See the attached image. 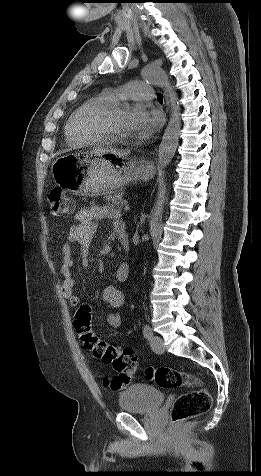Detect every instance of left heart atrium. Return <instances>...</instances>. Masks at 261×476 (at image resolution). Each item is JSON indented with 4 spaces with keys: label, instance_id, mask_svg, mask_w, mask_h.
<instances>
[{
    "label": "left heart atrium",
    "instance_id": "39dd6f15",
    "mask_svg": "<svg viewBox=\"0 0 261 476\" xmlns=\"http://www.w3.org/2000/svg\"><path fill=\"white\" fill-rule=\"evenodd\" d=\"M127 120L131 134L139 138L149 137L162 123L161 115L157 111H149L142 105L131 108Z\"/></svg>",
    "mask_w": 261,
    "mask_h": 476
}]
</instances>
